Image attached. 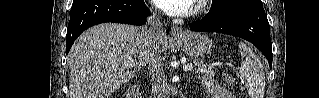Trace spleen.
<instances>
[{
  "label": "spleen",
  "instance_id": "3e777b00",
  "mask_svg": "<svg viewBox=\"0 0 319 98\" xmlns=\"http://www.w3.org/2000/svg\"><path fill=\"white\" fill-rule=\"evenodd\" d=\"M242 63L240 77L245 82L250 98H263L265 92V74L262 63L244 43H239Z\"/></svg>",
  "mask_w": 319,
  "mask_h": 98
}]
</instances>
